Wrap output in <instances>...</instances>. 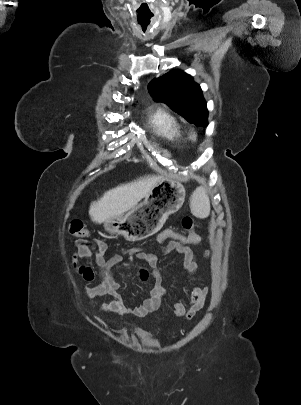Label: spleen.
Instances as JSON below:
<instances>
[{
  "instance_id": "spleen-1",
  "label": "spleen",
  "mask_w": 301,
  "mask_h": 405,
  "mask_svg": "<svg viewBox=\"0 0 301 405\" xmlns=\"http://www.w3.org/2000/svg\"><path fill=\"white\" fill-rule=\"evenodd\" d=\"M191 212L198 218H206L210 213V201L205 188L198 187L191 196Z\"/></svg>"
}]
</instances>
